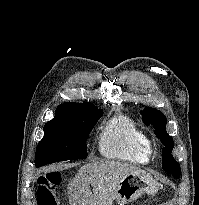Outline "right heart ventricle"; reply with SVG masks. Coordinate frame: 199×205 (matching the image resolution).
<instances>
[{"instance_id": "right-heart-ventricle-1", "label": "right heart ventricle", "mask_w": 199, "mask_h": 205, "mask_svg": "<svg viewBox=\"0 0 199 205\" xmlns=\"http://www.w3.org/2000/svg\"><path fill=\"white\" fill-rule=\"evenodd\" d=\"M98 150L108 159L147 164L151 158L150 141L145 132L131 119L117 116L102 129Z\"/></svg>"}]
</instances>
